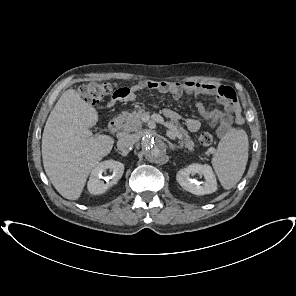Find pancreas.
Segmentation results:
<instances>
[{
    "mask_svg": "<svg viewBox=\"0 0 296 296\" xmlns=\"http://www.w3.org/2000/svg\"><path fill=\"white\" fill-rule=\"evenodd\" d=\"M145 114L143 109H139L137 112L132 113L123 112L120 116L121 128L125 132H137L141 129L143 120L142 117ZM167 127L175 133L179 139L180 146L187 148L189 151H193L194 143L188 132L179 124L177 120H171L166 122Z\"/></svg>",
    "mask_w": 296,
    "mask_h": 296,
    "instance_id": "1",
    "label": "pancreas"
}]
</instances>
